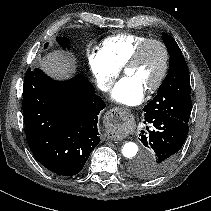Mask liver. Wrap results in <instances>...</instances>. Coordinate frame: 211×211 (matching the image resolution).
<instances>
[{"instance_id": "obj_1", "label": "liver", "mask_w": 211, "mask_h": 211, "mask_svg": "<svg viewBox=\"0 0 211 211\" xmlns=\"http://www.w3.org/2000/svg\"><path fill=\"white\" fill-rule=\"evenodd\" d=\"M40 65L48 74L65 79L75 71L74 59L62 51H54L40 60Z\"/></svg>"}]
</instances>
